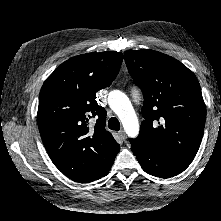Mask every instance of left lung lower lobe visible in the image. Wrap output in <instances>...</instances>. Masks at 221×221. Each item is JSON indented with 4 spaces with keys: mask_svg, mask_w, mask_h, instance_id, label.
<instances>
[{
    "mask_svg": "<svg viewBox=\"0 0 221 221\" xmlns=\"http://www.w3.org/2000/svg\"><path fill=\"white\" fill-rule=\"evenodd\" d=\"M131 150L143 170L156 177L170 178L176 176L191 163L164 151L137 148L133 144H131Z\"/></svg>",
    "mask_w": 221,
    "mask_h": 221,
    "instance_id": "obj_1",
    "label": "left lung lower lobe"
}]
</instances>
